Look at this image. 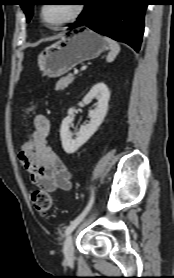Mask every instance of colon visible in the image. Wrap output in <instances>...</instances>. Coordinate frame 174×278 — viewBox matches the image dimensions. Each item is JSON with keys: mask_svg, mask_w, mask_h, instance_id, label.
Returning <instances> with one entry per match:
<instances>
[{"mask_svg": "<svg viewBox=\"0 0 174 278\" xmlns=\"http://www.w3.org/2000/svg\"><path fill=\"white\" fill-rule=\"evenodd\" d=\"M34 149V139L30 135L24 139L20 145L19 153L28 154L31 153ZM32 203L35 209L40 213H46L50 210L52 206V198L50 194L43 190H35L31 195Z\"/></svg>", "mask_w": 174, "mask_h": 278, "instance_id": "1", "label": "colon"}]
</instances>
